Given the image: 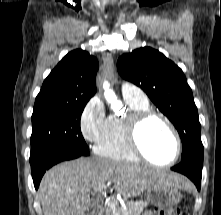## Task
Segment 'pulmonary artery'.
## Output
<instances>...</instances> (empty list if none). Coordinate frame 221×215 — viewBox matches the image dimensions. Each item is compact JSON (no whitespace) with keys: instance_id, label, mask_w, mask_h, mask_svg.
I'll list each match as a JSON object with an SVG mask.
<instances>
[{"instance_id":"e3ab8cb5","label":"pulmonary artery","mask_w":221,"mask_h":215,"mask_svg":"<svg viewBox=\"0 0 221 215\" xmlns=\"http://www.w3.org/2000/svg\"><path fill=\"white\" fill-rule=\"evenodd\" d=\"M121 93L123 97L133 98V99H145L146 96L143 91L129 83H123L121 86Z\"/></svg>"}]
</instances>
